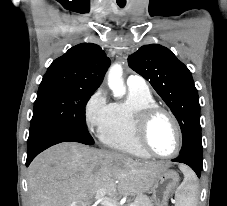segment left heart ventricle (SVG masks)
<instances>
[{
  "mask_svg": "<svg viewBox=\"0 0 227 206\" xmlns=\"http://www.w3.org/2000/svg\"><path fill=\"white\" fill-rule=\"evenodd\" d=\"M148 140L150 146L159 154L167 155L175 150L176 131L167 116L160 114L154 118L149 129Z\"/></svg>",
  "mask_w": 227,
  "mask_h": 206,
  "instance_id": "obj_1",
  "label": "left heart ventricle"
}]
</instances>
